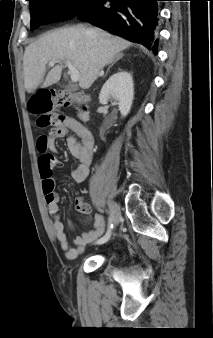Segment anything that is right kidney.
<instances>
[{
    "label": "right kidney",
    "instance_id": "right-kidney-1",
    "mask_svg": "<svg viewBox=\"0 0 213 338\" xmlns=\"http://www.w3.org/2000/svg\"><path fill=\"white\" fill-rule=\"evenodd\" d=\"M132 75L126 71L113 74L103 85L99 101L106 104L109 99L117 101L122 117H126L131 110L134 87Z\"/></svg>",
    "mask_w": 213,
    "mask_h": 338
}]
</instances>
